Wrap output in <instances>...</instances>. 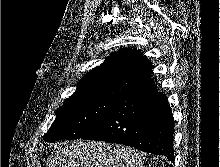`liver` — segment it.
Returning <instances> with one entry per match:
<instances>
[{
  "mask_svg": "<svg viewBox=\"0 0 220 167\" xmlns=\"http://www.w3.org/2000/svg\"><path fill=\"white\" fill-rule=\"evenodd\" d=\"M145 155L105 142L72 140L55 145L46 167H143Z\"/></svg>",
  "mask_w": 220,
  "mask_h": 167,
  "instance_id": "liver-1",
  "label": "liver"
}]
</instances>
